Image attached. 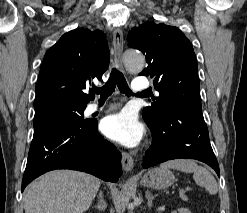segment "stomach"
<instances>
[{"label":"stomach","mask_w":247,"mask_h":213,"mask_svg":"<svg viewBox=\"0 0 247 213\" xmlns=\"http://www.w3.org/2000/svg\"><path fill=\"white\" fill-rule=\"evenodd\" d=\"M175 181L173 173L168 169L152 168L142 178L143 186L164 189L171 186Z\"/></svg>","instance_id":"0dacf381"}]
</instances>
